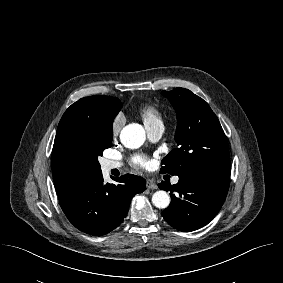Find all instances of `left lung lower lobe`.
I'll use <instances>...</instances> for the list:
<instances>
[{"mask_svg":"<svg viewBox=\"0 0 283 283\" xmlns=\"http://www.w3.org/2000/svg\"><path fill=\"white\" fill-rule=\"evenodd\" d=\"M229 181H214L194 175H179L175 185L161 182L158 187L170 191L171 203L162 216L172 227L190 232L209 223L222 207Z\"/></svg>","mask_w":283,"mask_h":283,"instance_id":"obj_1","label":"left lung lower lobe"}]
</instances>
